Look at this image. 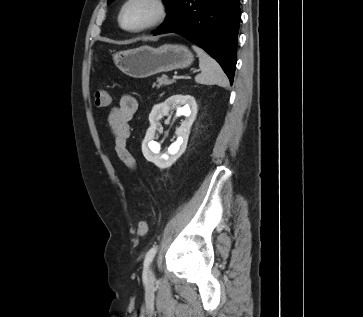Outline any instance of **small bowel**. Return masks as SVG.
Masks as SVG:
<instances>
[{"instance_id":"small-bowel-1","label":"small bowel","mask_w":363,"mask_h":317,"mask_svg":"<svg viewBox=\"0 0 363 317\" xmlns=\"http://www.w3.org/2000/svg\"><path fill=\"white\" fill-rule=\"evenodd\" d=\"M138 109L135 97L125 94L118 106L112 108L108 116V125L114 140V150L118 158L130 169H134L135 160L127 148L131 135L130 122Z\"/></svg>"}]
</instances>
